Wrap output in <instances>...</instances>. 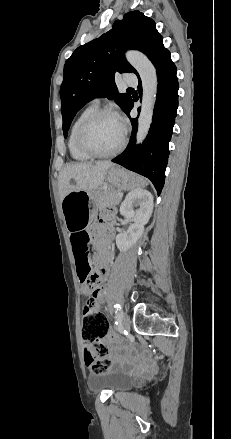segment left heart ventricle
Listing matches in <instances>:
<instances>
[{
  "instance_id": "b2bd125f",
  "label": "left heart ventricle",
  "mask_w": 231,
  "mask_h": 439,
  "mask_svg": "<svg viewBox=\"0 0 231 439\" xmlns=\"http://www.w3.org/2000/svg\"><path fill=\"white\" fill-rule=\"evenodd\" d=\"M123 129L118 119L104 116L96 120L86 133V141L100 153L110 152L121 142Z\"/></svg>"
}]
</instances>
